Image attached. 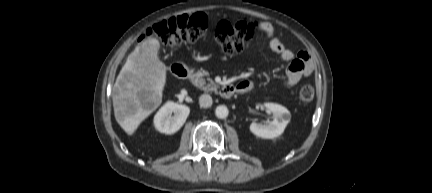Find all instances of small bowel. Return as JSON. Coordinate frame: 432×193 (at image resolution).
<instances>
[{
    "label": "small bowel",
    "instance_id": "c3829d8e",
    "mask_svg": "<svg viewBox=\"0 0 432 193\" xmlns=\"http://www.w3.org/2000/svg\"><path fill=\"white\" fill-rule=\"evenodd\" d=\"M249 24L253 30L264 33L269 38L271 50L276 53L281 60L289 64L286 69L285 78L287 87L295 86L303 77H307L313 72L314 65L309 54L306 51L294 53L287 48L280 39L276 37L275 27L270 22L255 21ZM236 87L239 93H245L252 89L253 83L249 80H243Z\"/></svg>",
    "mask_w": 432,
    "mask_h": 193
}]
</instances>
